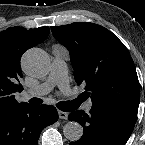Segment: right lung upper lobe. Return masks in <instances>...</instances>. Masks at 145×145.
Instances as JSON below:
<instances>
[{"instance_id": "cb5924a9", "label": "right lung upper lobe", "mask_w": 145, "mask_h": 145, "mask_svg": "<svg viewBox=\"0 0 145 145\" xmlns=\"http://www.w3.org/2000/svg\"><path fill=\"white\" fill-rule=\"evenodd\" d=\"M49 32L48 27H12L0 32V115L28 104L15 99V93L23 90L20 59L26 50L43 42Z\"/></svg>"}]
</instances>
